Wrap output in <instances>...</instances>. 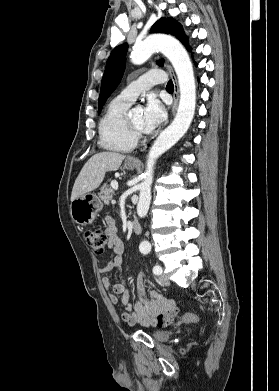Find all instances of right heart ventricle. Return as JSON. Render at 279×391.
<instances>
[{
    "mask_svg": "<svg viewBox=\"0 0 279 391\" xmlns=\"http://www.w3.org/2000/svg\"><path fill=\"white\" fill-rule=\"evenodd\" d=\"M131 102L120 98L112 99L99 122V144L109 151L128 152L137 141L132 137L126 122V113Z\"/></svg>",
    "mask_w": 279,
    "mask_h": 391,
    "instance_id": "e07e8e85",
    "label": "right heart ventricle"
}]
</instances>
